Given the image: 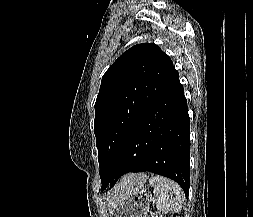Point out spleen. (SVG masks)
Instances as JSON below:
<instances>
[{"label": "spleen", "instance_id": "3e777b00", "mask_svg": "<svg viewBox=\"0 0 253 217\" xmlns=\"http://www.w3.org/2000/svg\"><path fill=\"white\" fill-rule=\"evenodd\" d=\"M149 184L154 188L156 199L153 202L161 214L167 215L180 210L183 194L178 184L162 176L151 177Z\"/></svg>", "mask_w": 253, "mask_h": 217}]
</instances>
